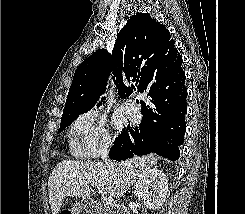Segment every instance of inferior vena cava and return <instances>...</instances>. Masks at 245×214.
Segmentation results:
<instances>
[{
	"instance_id": "obj_1",
	"label": "inferior vena cava",
	"mask_w": 245,
	"mask_h": 214,
	"mask_svg": "<svg viewBox=\"0 0 245 214\" xmlns=\"http://www.w3.org/2000/svg\"><path fill=\"white\" fill-rule=\"evenodd\" d=\"M111 147V142L110 141H104L102 143V153H101V158L104 161L105 165L108 168H113L114 163L108 158V151Z\"/></svg>"
}]
</instances>
